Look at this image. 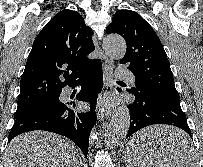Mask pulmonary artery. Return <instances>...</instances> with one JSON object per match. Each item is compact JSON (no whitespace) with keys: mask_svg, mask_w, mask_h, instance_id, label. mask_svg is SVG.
<instances>
[{"mask_svg":"<svg viewBox=\"0 0 203 167\" xmlns=\"http://www.w3.org/2000/svg\"><path fill=\"white\" fill-rule=\"evenodd\" d=\"M117 75L121 78L127 79L132 83L136 81V77L134 76V74L127 68H119L117 71Z\"/></svg>","mask_w":203,"mask_h":167,"instance_id":"1","label":"pulmonary artery"}]
</instances>
